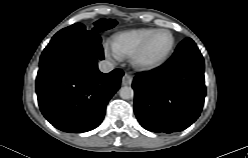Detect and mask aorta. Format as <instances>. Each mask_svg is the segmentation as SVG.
Segmentation results:
<instances>
[{
  "label": "aorta",
  "mask_w": 248,
  "mask_h": 158,
  "mask_svg": "<svg viewBox=\"0 0 248 158\" xmlns=\"http://www.w3.org/2000/svg\"><path fill=\"white\" fill-rule=\"evenodd\" d=\"M119 95L122 99H132L134 97V91L131 87L124 86L119 90Z\"/></svg>",
  "instance_id": "aorta-1"
}]
</instances>
